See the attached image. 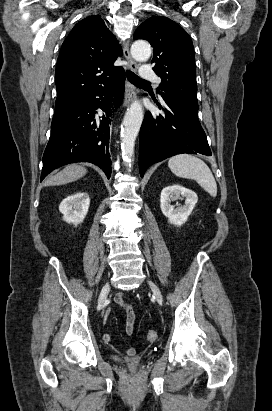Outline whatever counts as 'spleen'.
Instances as JSON below:
<instances>
[{"mask_svg":"<svg viewBox=\"0 0 272 411\" xmlns=\"http://www.w3.org/2000/svg\"><path fill=\"white\" fill-rule=\"evenodd\" d=\"M168 167L177 177L195 180L212 197L217 195L214 176L201 159L190 154H179L168 161Z\"/></svg>","mask_w":272,"mask_h":411,"instance_id":"1","label":"spleen"}]
</instances>
